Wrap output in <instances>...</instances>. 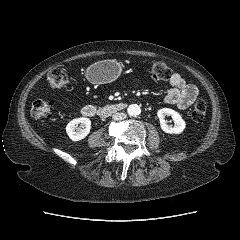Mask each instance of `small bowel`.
Here are the masks:
<instances>
[{"label": "small bowel", "instance_id": "small-bowel-1", "mask_svg": "<svg viewBox=\"0 0 240 240\" xmlns=\"http://www.w3.org/2000/svg\"><path fill=\"white\" fill-rule=\"evenodd\" d=\"M199 90L194 84H189L178 73L171 74L169 89L163 99L168 105H175L179 109H187L198 96Z\"/></svg>", "mask_w": 240, "mask_h": 240}]
</instances>
